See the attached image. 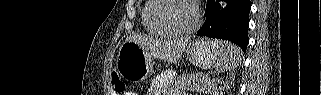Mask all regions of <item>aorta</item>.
<instances>
[{
    "label": "aorta",
    "instance_id": "obj_1",
    "mask_svg": "<svg viewBox=\"0 0 321 95\" xmlns=\"http://www.w3.org/2000/svg\"><path fill=\"white\" fill-rule=\"evenodd\" d=\"M219 3H220V8L221 9H224L226 7V5H227V1H225V0H222Z\"/></svg>",
    "mask_w": 321,
    "mask_h": 95
}]
</instances>
